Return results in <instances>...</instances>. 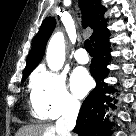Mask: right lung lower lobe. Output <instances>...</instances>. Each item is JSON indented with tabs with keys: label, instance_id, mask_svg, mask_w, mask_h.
<instances>
[{
	"label": "right lung lower lobe",
	"instance_id": "1",
	"mask_svg": "<svg viewBox=\"0 0 136 136\" xmlns=\"http://www.w3.org/2000/svg\"><path fill=\"white\" fill-rule=\"evenodd\" d=\"M110 43L108 37L101 39L94 45V58L91 62V75L96 80V87L84 100L74 132L79 136H109V122L105 118L104 108L112 99L106 96L110 89L104 82L109 74L107 65L110 61Z\"/></svg>",
	"mask_w": 136,
	"mask_h": 136
}]
</instances>
